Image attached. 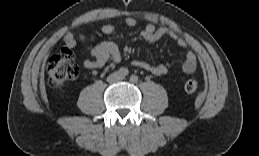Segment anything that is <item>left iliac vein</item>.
I'll list each match as a JSON object with an SVG mask.
<instances>
[{
	"label": "left iliac vein",
	"instance_id": "left-iliac-vein-1",
	"mask_svg": "<svg viewBox=\"0 0 259 156\" xmlns=\"http://www.w3.org/2000/svg\"><path fill=\"white\" fill-rule=\"evenodd\" d=\"M119 79H120V80H123V79H124V77H122V76H121Z\"/></svg>",
	"mask_w": 259,
	"mask_h": 156
}]
</instances>
